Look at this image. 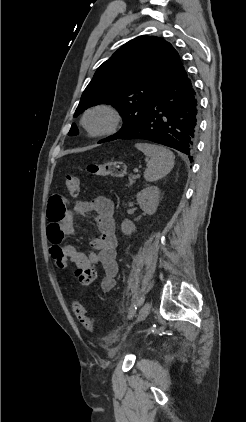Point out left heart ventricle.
I'll return each instance as SVG.
<instances>
[{
	"label": "left heart ventricle",
	"mask_w": 246,
	"mask_h": 422,
	"mask_svg": "<svg viewBox=\"0 0 246 422\" xmlns=\"http://www.w3.org/2000/svg\"><path fill=\"white\" fill-rule=\"evenodd\" d=\"M107 122V117L105 114L102 113H95L92 114L88 118V124L92 129H100L102 128Z\"/></svg>",
	"instance_id": "b2bd125f"
}]
</instances>
